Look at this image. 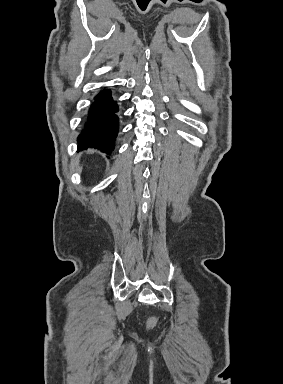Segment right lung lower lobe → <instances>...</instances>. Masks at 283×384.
I'll use <instances>...</instances> for the list:
<instances>
[{
  "mask_svg": "<svg viewBox=\"0 0 283 384\" xmlns=\"http://www.w3.org/2000/svg\"><path fill=\"white\" fill-rule=\"evenodd\" d=\"M118 106L109 90H103L89 109L84 130L78 137V150L97 148L110 154L118 133Z\"/></svg>",
  "mask_w": 283,
  "mask_h": 384,
  "instance_id": "1",
  "label": "right lung lower lobe"
}]
</instances>
